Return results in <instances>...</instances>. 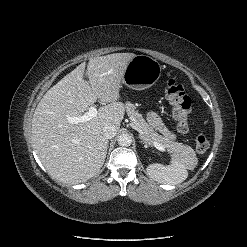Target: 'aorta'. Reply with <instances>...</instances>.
<instances>
[{"mask_svg": "<svg viewBox=\"0 0 247 247\" xmlns=\"http://www.w3.org/2000/svg\"><path fill=\"white\" fill-rule=\"evenodd\" d=\"M132 143V138L129 134L123 133L118 137V144L123 147H128Z\"/></svg>", "mask_w": 247, "mask_h": 247, "instance_id": "762f6f07", "label": "aorta"}]
</instances>
